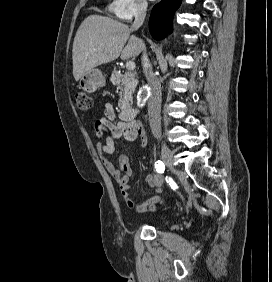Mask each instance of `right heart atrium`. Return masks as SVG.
Masks as SVG:
<instances>
[{
  "label": "right heart atrium",
  "instance_id": "d8ad5b80",
  "mask_svg": "<svg viewBox=\"0 0 272 282\" xmlns=\"http://www.w3.org/2000/svg\"><path fill=\"white\" fill-rule=\"evenodd\" d=\"M147 7L146 0H112L109 10L118 20L129 22L144 14Z\"/></svg>",
  "mask_w": 272,
  "mask_h": 282
}]
</instances>
